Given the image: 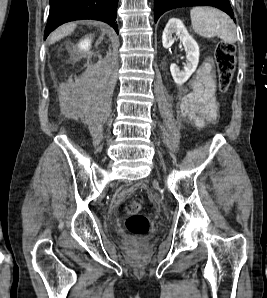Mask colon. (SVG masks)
Instances as JSON below:
<instances>
[{"mask_svg": "<svg viewBox=\"0 0 267 298\" xmlns=\"http://www.w3.org/2000/svg\"><path fill=\"white\" fill-rule=\"evenodd\" d=\"M235 46L232 43H219L215 59L219 77V88L222 93H226L231 85L233 73L235 70L236 57ZM142 205L138 202H132L126 207V228L135 235H144L150 228L149 220L141 214Z\"/></svg>", "mask_w": 267, "mask_h": 298, "instance_id": "5ec220e1", "label": "colon"}]
</instances>
